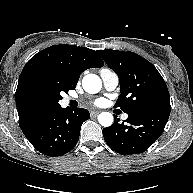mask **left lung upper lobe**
<instances>
[{
  "instance_id": "obj_1",
  "label": "left lung upper lobe",
  "mask_w": 193,
  "mask_h": 193,
  "mask_svg": "<svg viewBox=\"0 0 193 193\" xmlns=\"http://www.w3.org/2000/svg\"><path fill=\"white\" fill-rule=\"evenodd\" d=\"M97 53L119 77L121 94L115 108L120 107L128 115L170 110L166 83L148 60L119 50L105 49Z\"/></svg>"
}]
</instances>
